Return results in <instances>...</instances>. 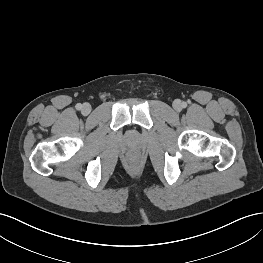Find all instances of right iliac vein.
<instances>
[{"instance_id":"63e3f726","label":"right iliac vein","mask_w":263,"mask_h":263,"mask_svg":"<svg viewBox=\"0 0 263 263\" xmlns=\"http://www.w3.org/2000/svg\"><path fill=\"white\" fill-rule=\"evenodd\" d=\"M81 112L83 115L87 116L91 112V105L89 103H84Z\"/></svg>"}]
</instances>
